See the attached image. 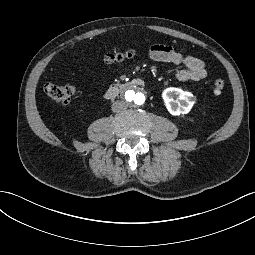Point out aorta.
<instances>
[{
	"mask_svg": "<svg viewBox=\"0 0 255 255\" xmlns=\"http://www.w3.org/2000/svg\"><path fill=\"white\" fill-rule=\"evenodd\" d=\"M125 100L130 106L139 107L145 103V95L140 88L132 87L125 92Z\"/></svg>",
	"mask_w": 255,
	"mask_h": 255,
	"instance_id": "obj_1",
	"label": "aorta"
}]
</instances>
